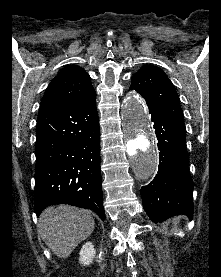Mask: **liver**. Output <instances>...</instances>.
Returning a JSON list of instances; mask_svg holds the SVG:
<instances>
[{
  "mask_svg": "<svg viewBox=\"0 0 221 277\" xmlns=\"http://www.w3.org/2000/svg\"><path fill=\"white\" fill-rule=\"evenodd\" d=\"M88 210L60 205L46 208L38 220V234L59 258H67L94 230Z\"/></svg>",
  "mask_w": 221,
  "mask_h": 277,
  "instance_id": "obj_1",
  "label": "liver"
}]
</instances>
